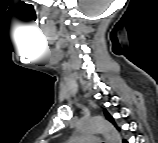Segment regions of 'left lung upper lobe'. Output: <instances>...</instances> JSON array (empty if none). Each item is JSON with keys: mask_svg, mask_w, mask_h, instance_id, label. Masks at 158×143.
I'll use <instances>...</instances> for the list:
<instances>
[{"mask_svg": "<svg viewBox=\"0 0 158 143\" xmlns=\"http://www.w3.org/2000/svg\"><path fill=\"white\" fill-rule=\"evenodd\" d=\"M105 115H106V117H107V119L109 121H111L112 123H114V119L108 114V112L106 110H105Z\"/></svg>", "mask_w": 158, "mask_h": 143, "instance_id": "5c2ea615", "label": "left lung upper lobe"}]
</instances>
